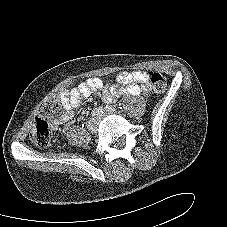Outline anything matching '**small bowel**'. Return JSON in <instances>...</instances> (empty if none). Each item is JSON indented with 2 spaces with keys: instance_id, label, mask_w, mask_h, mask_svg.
Returning <instances> with one entry per match:
<instances>
[{
  "instance_id": "c3829d8e",
  "label": "small bowel",
  "mask_w": 227,
  "mask_h": 227,
  "mask_svg": "<svg viewBox=\"0 0 227 227\" xmlns=\"http://www.w3.org/2000/svg\"><path fill=\"white\" fill-rule=\"evenodd\" d=\"M148 80V72L140 70L120 72L113 85H106L96 77L89 78L70 90L60 93L63 111L52 118V125L57 127L71 122L74 118L72 109L80 104L82 98L93 92L102 91L103 101L114 102L121 95L136 96L149 92ZM64 133L68 134V129H65Z\"/></svg>"
}]
</instances>
